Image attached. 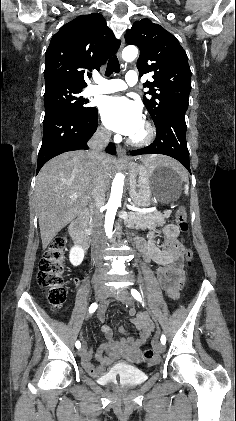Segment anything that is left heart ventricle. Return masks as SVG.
<instances>
[{
	"mask_svg": "<svg viewBox=\"0 0 236 421\" xmlns=\"http://www.w3.org/2000/svg\"><path fill=\"white\" fill-rule=\"evenodd\" d=\"M144 131H145V129H144V124L138 129V131L137 132H135L132 136L133 137H136V138H139V137H142L143 136V134H144Z\"/></svg>",
	"mask_w": 236,
	"mask_h": 421,
	"instance_id": "obj_1",
	"label": "left heart ventricle"
}]
</instances>
